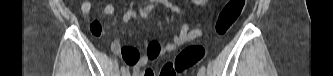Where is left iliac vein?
<instances>
[{"mask_svg":"<svg viewBox=\"0 0 333 76\" xmlns=\"http://www.w3.org/2000/svg\"><path fill=\"white\" fill-rule=\"evenodd\" d=\"M198 76H205V73L202 72V71H199V72H198Z\"/></svg>","mask_w":333,"mask_h":76,"instance_id":"obj_1","label":"left iliac vein"}]
</instances>
